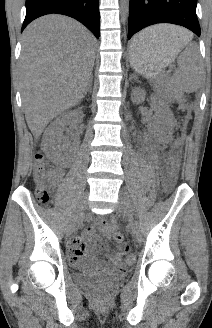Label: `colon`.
I'll use <instances>...</instances> for the list:
<instances>
[{"instance_id": "obj_1", "label": "colon", "mask_w": 212, "mask_h": 328, "mask_svg": "<svg viewBox=\"0 0 212 328\" xmlns=\"http://www.w3.org/2000/svg\"><path fill=\"white\" fill-rule=\"evenodd\" d=\"M50 175V171L44 161V157L41 154L35 156V166H34V180L37 183L36 195L40 202L46 203L50 200L52 190L48 185L47 181ZM169 182L173 184L178 176V161L177 158H173L168 171ZM112 238L118 243V251L121 254H128L130 247L127 242H123L122 235L119 232L114 231L112 233ZM134 260L132 255L127 256L128 263Z\"/></svg>"}]
</instances>
